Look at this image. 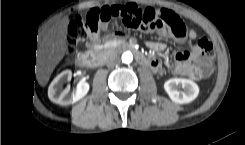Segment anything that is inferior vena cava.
I'll list each match as a JSON object with an SVG mask.
<instances>
[{"mask_svg":"<svg viewBox=\"0 0 245 145\" xmlns=\"http://www.w3.org/2000/svg\"><path fill=\"white\" fill-rule=\"evenodd\" d=\"M111 61H112V63L116 64V63L119 62V59L118 58H113Z\"/></svg>","mask_w":245,"mask_h":145,"instance_id":"602c4592","label":"inferior vena cava"}]
</instances>
